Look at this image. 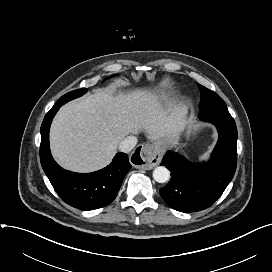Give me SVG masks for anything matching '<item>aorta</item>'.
<instances>
[{"label": "aorta", "instance_id": "1", "mask_svg": "<svg viewBox=\"0 0 272 272\" xmlns=\"http://www.w3.org/2000/svg\"><path fill=\"white\" fill-rule=\"evenodd\" d=\"M153 178L158 183H165L170 178V171L164 166L156 167L153 171Z\"/></svg>", "mask_w": 272, "mask_h": 272}]
</instances>
